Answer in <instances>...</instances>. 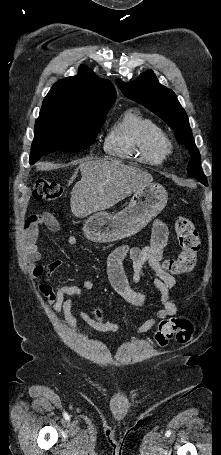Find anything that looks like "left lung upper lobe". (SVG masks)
Returning <instances> with one entry per match:
<instances>
[{
	"instance_id": "5c2ea615",
	"label": "left lung upper lobe",
	"mask_w": 221,
	"mask_h": 455,
	"mask_svg": "<svg viewBox=\"0 0 221 455\" xmlns=\"http://www.w3.org/2000/svg\"><path fill=\"white\" fill-rule=\"evenodd\" d=\"M118 84L124 95L144 105L174 129L176 138L191 155L187 166L189 174L206 185V177L200 168L201 156L196 148L188 117L175 93L161 85L151 70L143 72L134 82L124 83L118 80Z\"/></svg>"
}]
</instances>
